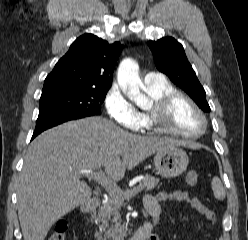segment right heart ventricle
Wrapping results in <instances>:
<instances>
[{
  "mask_svg": "<svg viewBox=\"0 0 248 240\" xmlns=\"http://www.w3.org/2000/svg\"><path fill=\"white\" fill-rule=\"evenodd\" d=\"M143 88L153 101L157 100L162 95L175 90L174 86L166 79L154 82H145ZM139 114L141 117V127L149 128L147 112Z\"/></svg>",
  "mask_w": 248,
  "mask_h": 240,
  "instance_id": "obj_1",
  "label": "right heart ventricle"
}]
</instances>
